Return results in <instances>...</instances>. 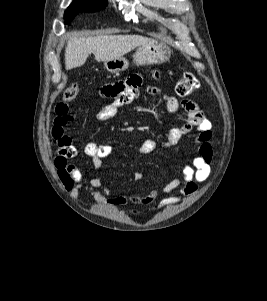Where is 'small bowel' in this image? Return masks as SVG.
<instances>
[{
	"mask_svg": "<svg viewBox=\"0 0 267 301\" xmlns=\"http://www.w3.org/2000/svg\"><path fill=\"white\" fill-rule=\"evenodd\" d=\"M156 76L154 75V77ZM142 82L141 75L132 74L125 80L103 85L99 90V96L104 100H110V102L101 107L97 117L103 121L113 118L120 107L136 100L143 89L151 96H159L165 102L169 112L177 113L181 108L186 112L187 119L185 123L169 130L166 140L162 143V147L178 151V144L181 138L195 128L198 132L196 139L198 153L192 158L191 164L185 165L182 168L181 174L162 189L168 196L160 200L153 207V210H159L170 206L176 201L178 195L194 194L198 189V184L204 182L209 177L213 155L210 145L213 135L212 124L193 101L183 100L179 103L175 97L164 94L159 87L152 85L143 87ZM55 113L56 119L52 128V137L56 141L58 148L55 166L60 181L72 196L77 197L79 189L85 187L92 191L99 201L109 196L108 203L112 205H126L128 203L145 204L155 198L156 192H151L145 196L133 197L112 195L103 186L98 176H91L83 180L77 166L69 161L78 154V150L73 145L72 139L65 132V127L73 120V116L65 102L57 104ZM156 148L157 143L153 139H147L140 145L139 152L141 154H149ZM112 151L113 147L111 145L98 144L96 142H88L83 148V153L91 158L95 169L101 167L103 160ZM134 179L135 181H140L142 174L136 173Z\"/></svg>",
	"mask_w": 267,
	"mask_h": 301,
	"instance_id": "small-bowel-1",
	"label": "small bowel"
}]
</instances>
